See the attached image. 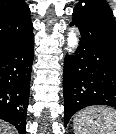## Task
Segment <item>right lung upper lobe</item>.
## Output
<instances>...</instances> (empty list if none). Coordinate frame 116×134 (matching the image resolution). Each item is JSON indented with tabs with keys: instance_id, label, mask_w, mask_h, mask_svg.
<instances>
[{
	"instance_id": "right-lung-upper-lobe-1",
	"label": "right lung upper lobe",
	"mask_w": 116,
	"mask_h": 134,
	"mask_svg": "<svg viewBox=\"0 0 116 134\" xmlns=\"http://www.w3.org/2000/svg\"><path fill=\"white\" fill-rule=\"evenodd\" d=\"M33 29L24 0H0V51Z\"/></svg>"
}]
</instances>
